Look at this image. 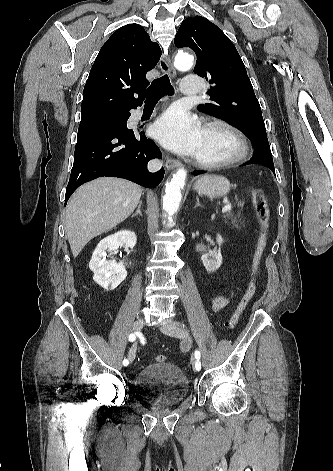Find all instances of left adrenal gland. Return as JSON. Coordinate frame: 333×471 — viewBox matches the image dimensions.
<instances>
[{
	"mask_svg": "<svg viewBox=\"0 0 333 471\" xmlns=\"http://www.w3.org/2000/svg\"><path fill=\"white\" fill-rule=\"evenodd\" d=\"M196 200H197V203H196V205L194 206V208H197L198 206H202V205L200 204V202H199V197H198V196L196 197Z\"/></svg>",
	"mask_w": 333,
	"mask_h": 471,
	"instance_id": "1",
	"label": "left adrenal gland"
}]
</instances>
